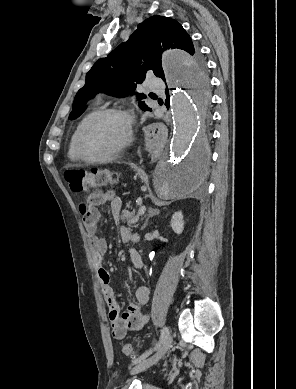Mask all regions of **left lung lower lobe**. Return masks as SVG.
Here are the masks:
<instances>
[{
	"mask_svg": "<svg viewBox=\"0 0 296 389\" xmlns=\"http://www.w3.org/2000/svg\"><path fill=\"white\" fill-rule=\"evenodd\" d=\"M166 95H167V98H166V101H165V105H166L167 108H169V91H168V89H166ZM203 160H204L203 158H201V159L200 158L199 159L192 158L188 162V164L186 166V172H187V174L189 176H186V178L189 180V182H190V178L189 177L193 176V173H195L197 170H199L201 168ZM191 185H192L191 186V188H192L194 186V184L191 183Z\"/></svg>",
	"mask_w": 296,
	"mask_h": 389,
	"instance_id": "obj_1",
	"label": "left lung lower lobe"
}]
</instances>
